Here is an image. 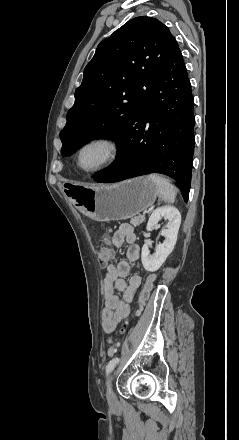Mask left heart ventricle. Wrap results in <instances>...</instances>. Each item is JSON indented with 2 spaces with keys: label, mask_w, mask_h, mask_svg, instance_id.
I'll list each match as a JSON object with an SVG mask.
<instances>
[{
  "label": "left heart ventricle",
  "mask_w": 239,
  "mask_h": 440,
  "mask_svg": "<svg viewBox=\"0 0 239 440\" xmlns=\"http://www.w3.org/2000/svg\"><path fill=\"white\" fill-rule=\"evenodd\" d=\"M108 156V149L104 145H92L82 153L80 166L82 169H94L101 165Z\"/></svg>",
  "instance_id": "1"
}]
</instances>
